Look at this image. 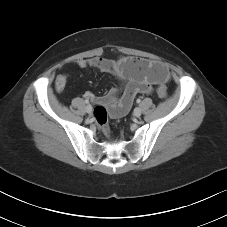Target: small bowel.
<instances>
[{
  "label": "small bowel",
  "mask_w": 227,
  "mask_h": 227,
  "mask_svg": "<svg viewBox=\"0 0 227 227\" xmlns=\"http://www.w3.org/2000/svg\"><path fill=\"white\" fill-rule=\"evenodd\" d=\"M74 64L82 69L93 68L109 73L117 79V84L102 96H96L91 92L85 94L87 99L107 105L113 118L126 114L137 94L151 93L154 85L164 82L168 78V74L161 73L155 67V62L142 58L122 56L118 60H112L104 57H92L78 59L74 61ZM67 81L66 74H59L55 80L56 90L62 91Z\"/></svg>",
  "instance_id": "small-bowel-1"
}]
</instances>
